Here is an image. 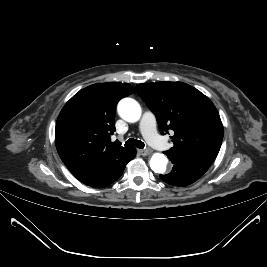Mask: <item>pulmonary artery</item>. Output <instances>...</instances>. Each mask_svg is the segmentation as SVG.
<instances>
[{
	"label": "pulmonary artery",
	"instance_id": "e3ab8cb5",
	"mask_svg": "<svg viewBox=\"0 0 267 267\" xmlns=\"http://www.w3.org/2000/svg\"><path fill=\"white\" fill-rule=\"evenodd\" d=\"M139 129L151 146L159 150H165L168 147L166 141L157 132V122L152 112H144L139 123Z\"/></svg>",
	"mask_w": 267,
	"mask_h": 267
}]
</instances>
